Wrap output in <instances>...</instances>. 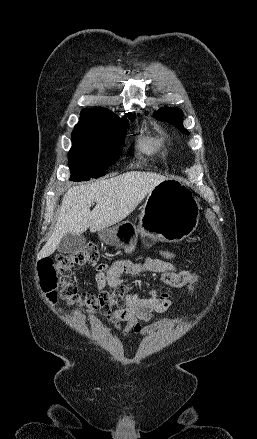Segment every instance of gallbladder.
Returning <instances> with one entry per match:
<instances>
[{
    "label": "gallbladder",
    "instance_id": "1",
    "mask_svg": "<svg viewBox=\"0 0 257 439\" xmlns=\"http://www.w3.org/2000/svg\"><path fill=\"white\" fill-rule=\"evenodd\" d=\"M86 244V238L83 235L66 234L57 246V250L61 253H76L80 251Z\"/></svg>",
    "mask_w": 257,
    "mask_h": 439
}]
</instances>
